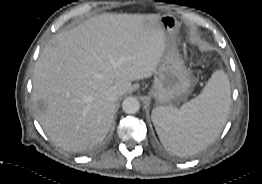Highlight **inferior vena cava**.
Instances as JSON below:
<instances>
[{
	"instance_id": "obj_1",
	"label": "inferior vena cava",
	"mask_w": 262,
	"mask_h": 184,
	"mask_svg": "<svg viewBox=\"0 0 262 184\" xmlns=\"http://www.w3.org/2000/svg\"><path fill=\"white\" fill-rule=\"evenodd\" d=\"M106 98L110 101L116 102L119 99V92L115 87H111L106 92Z\"/></svg>"
}]
</instances>
